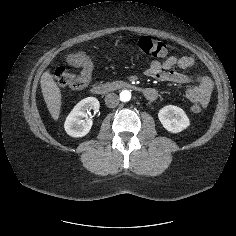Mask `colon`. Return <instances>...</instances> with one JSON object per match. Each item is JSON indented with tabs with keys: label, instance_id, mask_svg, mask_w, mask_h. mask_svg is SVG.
<instances>
[{
	"label": "colon",
	"instance_id": "1",
	"mask_svg": "<svg viewBox=\"0 0 236 236\" xmlns=\"http://www.w3.org/2000/svg\"><path fill=\"white\" fill-rule=\"evenodd\" d=\"M138 47L146 55L158 58H169L172 56V49L165 43L149 37H142L138 41ZM66 61L77 67L79 72L77 74L70 73L65 69H57L53 73L55 83L60 87H68L78 89L86 86L92 76L93 62L89 55L83 52L70 53L65 56ZM192 112L198 114L202 108L195 104L191 108Z\"/></svg>",
	"mask_w": 236,
	"mask_h": 236
}]
</instances>
